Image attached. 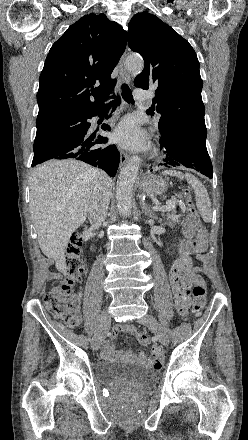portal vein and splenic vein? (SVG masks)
<instances>
[{
  "label": "portal vein and splenic vein",
  "instance_id": "obj_1",
  "mask_svg": "<svg viewBox=\"0 0 248 440\" xmlns=\"http://www.w3.org/2000/svg\"><path fill=\"white\" fill-rule=\"evenodd\" d=\"M173 205L174 204H166V205L161 206L159 203H156L155 206L153 207V210L166 212V211H169Z\"/></svg>",
  "mask_w": 248,
  "mask_h": 440
}]
</instances>
